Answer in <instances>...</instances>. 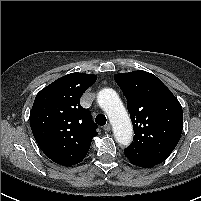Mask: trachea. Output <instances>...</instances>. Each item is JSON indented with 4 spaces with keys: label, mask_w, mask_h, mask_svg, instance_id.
I'll use <instances>...</instances> for the list:
<instances>
[{
    "label": "trachea",
    "mask_w": 201,
    "mask_h": 201,
    "mask_svg": "<svg viewBox=\"0 0 201 201\" xmlns=\"http://www.w3.org/2000/svg\"><path fill=\"white\" fill-rule=\"evenodd\" d=\"M95 122L100 126L105 125L106 124V116L104 114H98L95 118Z\"/></svg>",
    "instance_id": "3493384b"
}]
</instances>
